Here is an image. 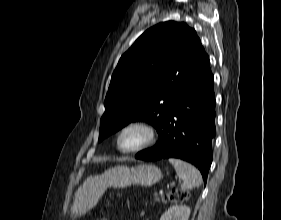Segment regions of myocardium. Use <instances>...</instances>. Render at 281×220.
<instances>
[{
    "label": "myocardium",
    "instance_id": "myocardium-1",
    "mask_svg": "<svg viewBox=\"0 0 281 220\" xmlns=\"http://www.w3.org/2000/svg\"><path fill=\"white\" fill-rule=\"evenodd\" d=\"M139 129L144 133L143 141L131 149H122L120 147L121 137L129 130ZM157 138L156 128L145 120H133L124 124L117 132L114 140L115 149L121 154H135L152 146Z\"/></svg>",
    "mask_w": 281,
    "mask_h": 220
}]
</instances>
